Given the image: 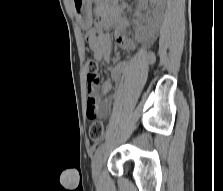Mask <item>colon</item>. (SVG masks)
Listing matches in <instances>:
<instances>
[{"mask_svg":"<svg viewBox=\"0 0 223 191\" xmlns=\"http://www.w3.org/2000/svg\"><path fill=\"white\" fill-rule=\"evenodd\" d=\"M87 77L90 83H98L99 81V64L96 60L90 59L86 62ZM105 134V126L102 121H94L89 130V136L92 142H100Z\"/></svg>","mask_w":223,"mask_h":191,"instance_id":"obj_1","label":"colon"}]
</instances>
